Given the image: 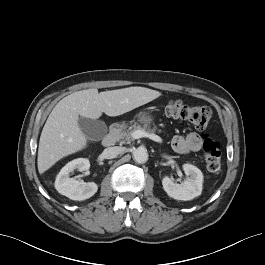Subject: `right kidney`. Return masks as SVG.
<instances>
[{"label": "right kidney", "instance_id": "obj_1", "mask_svg": "<svg viewBox=\"0 0 265 265\" xmlns=\"http://www.w3.org/2000/svg\"><path fill=\"white\" fill-rule=\"evenodd\" d=\"M90 167V162L86 158H78L67 163L59 172L55 180V189L62 195L76 201H83L92 197L98 190L94 182L78 181L70 178V173L74 170L85 171Z\"/></svg>", "mask_w": 265, "mask_h": 265}]
</instances>
